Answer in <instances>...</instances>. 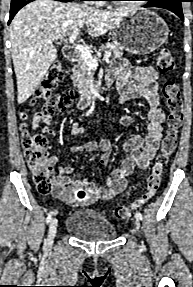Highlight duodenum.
I'll return each mask as SVG.
<instances>
[{
	"instance_id": "1",
	"label": "duodenum",
	"mask_w": 193,
	"mask_h": 287,
	"mask_svg": "<svg viewBox=\"0 0 193 287\" xmlns=\"http://www.w3.org/2000/svg\"><path fill=\"white\" fill-rule=\"evenodd\" d=\"M64 56L70 62L75 61L77 58V51H76L75 47H73V46L65 47L64 48ZM100 92H101L100 90L95 89L92 92L83 93L79 102H78L77 107L79 109H83V108L91 105L97 98H99Z\"/></svg>"
}]
</instances>
